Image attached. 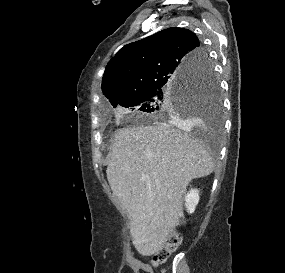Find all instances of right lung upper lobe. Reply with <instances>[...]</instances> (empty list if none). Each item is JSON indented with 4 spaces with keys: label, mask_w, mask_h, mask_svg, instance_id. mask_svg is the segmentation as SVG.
Returning a JSON list of instances; mask_svg holds the SVG:
<instances>
[{
    "label": "right lung upper lobe",
    "mask_w": 285,
    "mask_h": 273,
    "mask_svg": "<svg viewBox=\"0 0 285 273\" xmlns=\"http://www.w3.org/2000/svg\"><path fill=\"white\" fill-rule=\"evenodd\" d=\"M205 64V50L192 31L168 28L121 48L105 69L102 92L118 105L201 72Z\"/></svg>",
    "instance_id": "cb5924a9"
}]
</instances>
